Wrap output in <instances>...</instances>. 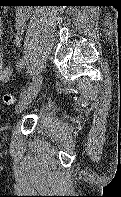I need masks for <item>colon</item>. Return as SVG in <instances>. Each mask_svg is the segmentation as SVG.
I'll return each mask as SVG.
<instances>
[{
	"instance_id": "obj_1",
	"label": "colon",
	"mask_w": 121,
	"mask_h": 197,
	"mask_svg": "<svg viewBox=\"0 0 121 197\" xmlns=\"http://www.w3.org/2000/svg\"><path fill=\"white\" fill-rule=\"evenodd\" d=\"M2 101L4 102V104L6 105H14L15 102H16V98L15 96L10 93V92H5L3 95H2Z\"/></svg>"
}]
</instances>
